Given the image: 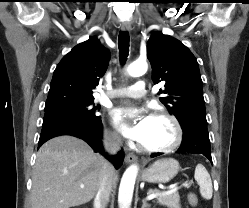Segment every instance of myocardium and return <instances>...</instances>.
Here are the masks:
<instances>
[{"mask_svg":"<svg viewBox=\"0 0 249 208\" xmlns=\"http://www.w3.org/2000/svg\"><path fill=\"white\" fill-rule=\"evenodd\" d=\"M153 117H161L165 118L170 123L172 124L174 131H175V138L174 141L169 144L168 146L165 147H157V148H151V147H146L142 144H139L138 148L145 152V153H150V154H158V153H168L176 149L182 142L183 140V129L182 126L179 122V120L172 114H170L167 111L164 110H157L153 113Z\"/></svg>","mask_w":249,"mask_h":208,"instance_id":"obj_1","label":"myocardium"}]
</instances>
